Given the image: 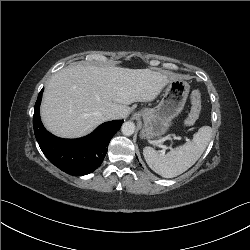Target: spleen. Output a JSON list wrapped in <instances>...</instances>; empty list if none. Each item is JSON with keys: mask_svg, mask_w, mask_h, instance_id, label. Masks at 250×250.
<instances>
[{"mask_svg": "<svg viewBox=\"0 0 250 250\" xmlns=\"http://www.w3.org/2000/svg\"><path fill=\"white\" fill-rule=\"evenodd\" d=\"M212 135V128L203 126L194 134L192 141L171 149L167 154L158 153L152 147L143 149L149 167L165 178L176 177L192 167L203 154Z\"/></svg>", "mask_w": 250, "mask_h": 250, "instance_id": "1", "label": "spleen"}]
</instances>
